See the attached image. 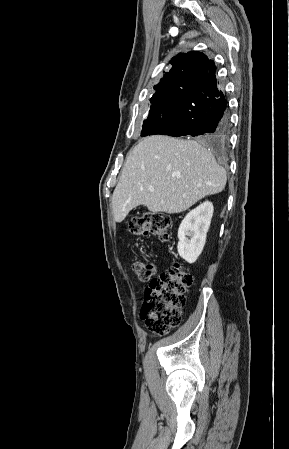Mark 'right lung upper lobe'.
<instances>
[{
    "label": "right lung upper lobe",
    "mask_w": 289,
    "mask_h": 449,
    "mask_svg": "<svg viewBox=\"0 0 289 449\" xmlns=\"http://www.w3.org/2000/svg\"><path fill=\"white\" fill-rule=\"evenodd\" d=\"M171 70L165 73L160 83L154 86L157 94L167 92L173 84L180 80H207L215 75V64L208 57L198 51H192L187 54L180 53L170 61ZM153 95V96H154Z\"/></svg>",
    "instance_id": "1"
}]
</instances>
